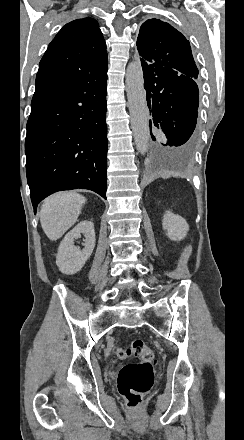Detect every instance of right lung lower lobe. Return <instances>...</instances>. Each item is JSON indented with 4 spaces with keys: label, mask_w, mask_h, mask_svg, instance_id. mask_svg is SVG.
I'll use <instances>...</instances> for the list:
<instances>
[{
    "label": "right lung lower lobe",
    "mask_w": 244,
    "mask_h": 440,
    "mask_svg": "<svg viewBox=\"0 0 244 440\" xmlns=\"http://www.w3.org/2000/svg\"><path fill=\"white\" fill-rule=\"evenodd\" d=\"M107 65L36 85L25 141L36 207L48 195L89 189L106 199Z\"/></svg>",
    "instance_id": "1"
}]
</instances>
